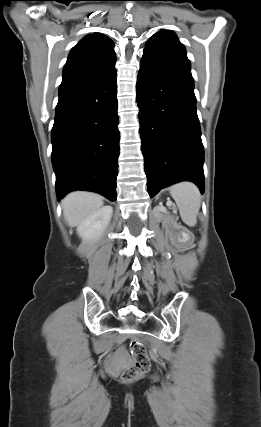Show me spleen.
I'll return each instance as SVG.
<instances>
[{
	"label": "spleen",
	"mask_w": 261,
	"mask_h": 427,
	"mask_svg": "<svg viewBox=\"0 0 261 427\" xmlns=\"http://www.w3.org/2000/svg\"><path fill=\"white\" fill-rule=\"evenodd\" d=\"M170 194L177 204L182 221L190 227L195 226L201 206L197 186L191 182H181L171 187Z\"/></svg>",
	"instance_id": "3e777b00"
}]
</instances>
